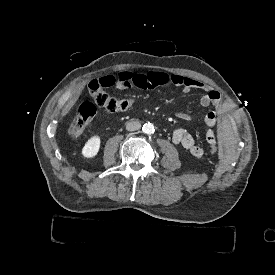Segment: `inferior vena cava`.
I'll use <instances>...</instances> for the list:
<instances>
[{"instance_id":"inferior-vena-cava-1","label":"inferior vena cava","mask_w":275,"mask_h":275,"mask_svg":"<svg viewBox=\"0 0 275 275\" xmlns=\"http://www.w3.org/2000/svg\"><path fill=\"white\" fill-rule=\"evenodd\" d=\"M141 128V123L139 121H131L126 124V130L136 131Z\"/></svg>"}]
</instances>
